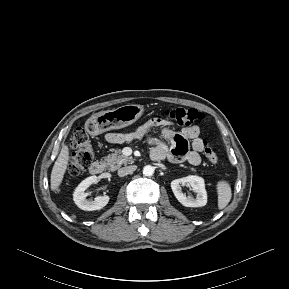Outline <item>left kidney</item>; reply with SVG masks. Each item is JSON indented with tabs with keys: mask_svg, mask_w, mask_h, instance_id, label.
Returning <instances> with one entry per match:
<instances>
[{
	"mask_svg": "<svg viewBox=\"0 0 289 289\" xmlns=\"http://www.w3.org/2000/svg\"><path fill=\"white\" fill-rule=\"evenodd\" d=\"M188 184L194 192H196V198L186 197L182 193L181 186ZM171 189L177 198V200L186 207H202L207 203V192L205 189L204 179L199 176L189 175L180 179H175L171 182Z\"/></svg>",
	"mask_w": 289,
	"mask_h": 289,
	"instance_id": "left-kidney-1",
	"label": "left kidney"
}]
</instances>
